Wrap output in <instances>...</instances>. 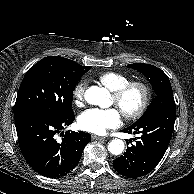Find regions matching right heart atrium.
<instances>
[{
    "label": "right heart atrium",
    "mask_w": 194,
    "mask_h": 194,
    "mask_svg": "<svg viewBox=\"0 0 194 194\" xmlns=\"http://www.w3.org/2000/svg\"><path fill=\"white\" fill-rule=\"evenodd\" d=\"M87 86L88 82L86 79H81L75 84L72 91V96L77 104H81L84 101Z\"/></svg>",
    "instance_id": "right-heart-atrium-1"
}]
</instances>
